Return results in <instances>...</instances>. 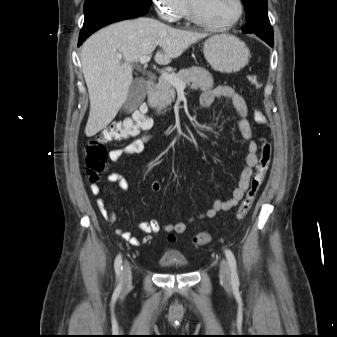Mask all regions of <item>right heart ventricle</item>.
I'll list each match as a JSON object with an SVG mask.
<instances>
[{
  "label": "right heart ventricle",
  "mask_w": 337,
  "mask_h": 337,
  "mask_svg": "<svg viewBox=\"0 0 337 337\" xmlns=\"http://www.w3.org/2000/svg\"><path fill=\"white\" fill-rule=\"evenodd\" d=\"M182 17H184L185 19H190V15H189V11H188V6L186 4V8L184 9L183 13H182Z\"/></svg>",
  "instance_id": "right-heart-ventricle-1"
}]
</instances>
